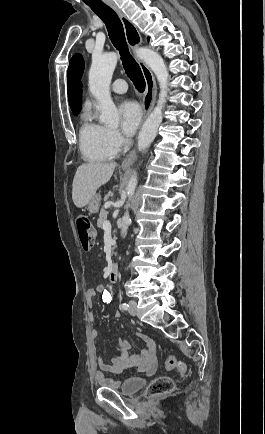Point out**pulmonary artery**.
Returning <instances> with one entry per match:
<instances>
[{"label":"pulmonary artery","mask_w":265,"mask_h":434,"mask_svg":"<svg viewBox=\"0 0 265 434\" xmlns=\"http://www.w3.org/2000/svg\"><path fill=\"white\" fill-rule=\"evenodd\" d=\"M113 91L119 94H123L125 93L127 90H129L130 88V83L129 81H122V79H118L114 84H113Z\"/></svg>","instance_id":"1"}]
</instances>
